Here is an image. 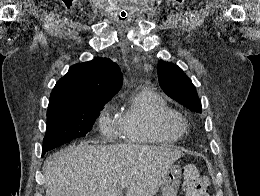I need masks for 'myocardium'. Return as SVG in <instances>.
<instances>
[{"label": "myocardium", "mask_w": 260, "mask_h": 196, "mask_svg": "<svg viewBox=\"0 0 260 196\" xmlns=\"http://www.w3.org/2000/svg\"><path fill=\"white\" fill-rule=\"evenodd\" d=\"M166 123L176 129H178L182 133H184L187 130V124H186L185 118L179 112H175L172 116L167 118Z\"/></svg>", "instance_id": "1"}]
</instances>
